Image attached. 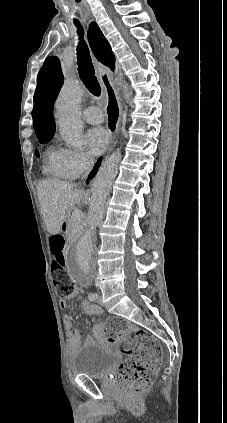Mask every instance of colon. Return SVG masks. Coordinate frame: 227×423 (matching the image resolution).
<instances>
[{"mask_svg": "<svg viewBox=\"0 0 227 423\" xmlns=\"http://www.w3.org/2000/svg\"><path fill=\"white\" fill-rule=\"evenodd\" d=\"M50 247L54 284L61 296H70L75 292V287L65 268L64 237L53 235ZM108 323L113 329L112 334L119 337L122 351L128 355L117 372L120 385L129 395L140 394L151 386L160 368L161 345L144 329L125 324L117 318L109 319Z\"/></svg>", "mask_w": 227, "mask_h": 423, "instance_id": "obj_1", "label": "colon"}]
</instances>
